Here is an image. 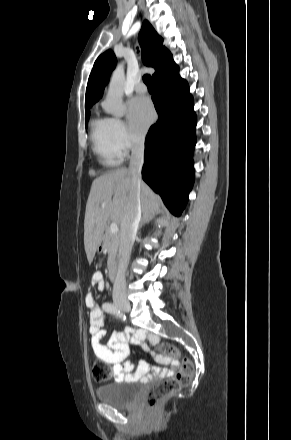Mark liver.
Listing matches in <instances>:
<instances>
[{
    "label": "liver",
    "instance_id": "1",
    "mask_svg": "<svg viewBox=\"0 0 291 440\" xmlns=\"http://www.w3.org/2000/svg\"><path fill=\"white\" fill-rule=\"evenodd\" d=\"M132 190V177L126 168L110 171L93 181L84 219V246L89 263L101 244L107 221L121 224ZM140 205L143 215L160 211L159 196L144 182L140 186Z\"/></svg>",
    "mask_w": 291,
    "mask_h": 440
}]
</instances>
